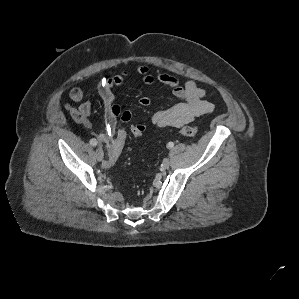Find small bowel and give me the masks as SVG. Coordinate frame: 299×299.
I'll list each match as a JSON object with an SVG mask.
<instances>
[{"label": "small bowel", "instance_id": "1", "mask_svg": "<svg viewBox=\"0 0 299 299\" xmlns=\"http://www.w3.org/2000/svg\"><path fill=\"white\" fill-rule=\"evenodd\" d=\"M136 73L139 74L140 80L145 85L160 83L169 87L176 99L172 106L156 111L152 115V123L158 128L174 127L179 128L193 121L195 118L211 113L214 105L206 99V91L199 87L193 80H188L184 85L168 73L152 74L147 65L137 67ZM130 71L124 70L112 77L103 78L98 84V92L104 107L105 132L98 135L100 143H108L112 134L117 129L118 121L128 123L131 121L132 113L129 110H123L114 102V88L120 86ZM69 97L74 102H81L84 97L83 90L74 87L69 92ZM139 104L148 107L151 101L148 97L143 96L139 99ZM81 107L85 108L88 113L91 106L88 102H83ZM146 130L143 123L138 122Z\"/></svg>", "mask_w": 299, "mask_h": 299}]
</instances>
